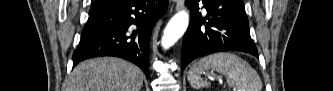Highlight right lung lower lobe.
Listing matches in <instances>:
<instances>
[{
  "label": "right lung lower lobe",
  "mask_w": 333,
  "mask_h": 91,
  "mask_svg": "<svg viewBox=\"0 0 333 91\" xmlns=\"http://www.w3.org/2000/svg\"><path fill=\"white\" fill-rule=\"evenodd\" d=\"M168 0H116L94 4L73 54V66L99 56H115L139 66L149 77V43Z\"/></svg>",
  "instance_id": "1"
}]
</instances>
